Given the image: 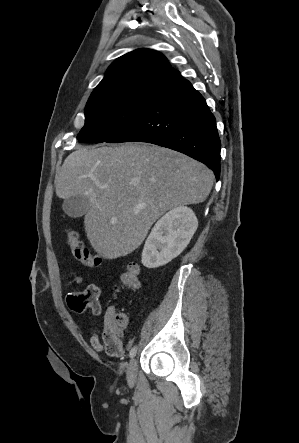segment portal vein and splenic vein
I'll use <instances>...</instances> for the list:
<instances>
[{
  "mask_svg": "<svg viewBox=\"0 0 299 443\" xmlns=\"http://www.w3.org/2000/svg\"><path fill=\"white\" fill-rule=\"evenodd\" d=\"M144 207H145V205H143V204L137 205V208H140V209H142Z\"/></svg>",
  "mask_w": 299,
  "mask_h": 443,
  "instance_id": "1",
  "label": "portal vein and splenic vein"
}]
</instances>
